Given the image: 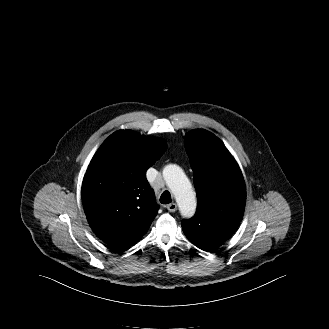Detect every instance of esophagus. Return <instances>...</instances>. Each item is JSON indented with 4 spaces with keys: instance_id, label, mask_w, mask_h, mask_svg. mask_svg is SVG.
I'll return each instance as SVG.
<instances>
[{
    "instance_id": "esophagus-1",
    "label": "esophagus",
    "mask_w": 329,
    "mask_h": 329,
    "mask_svg": "<svg viewBox=\"0 0 329 329\" xmlns=\"http://www.w3.org/2000/svg\"><path fill=\"white\" fill-rule=\"evenodd\" d=\"M166 208L169 212H175L177 210V204L176 203L168 204Z\"/></svg>"
}]
</instances>
